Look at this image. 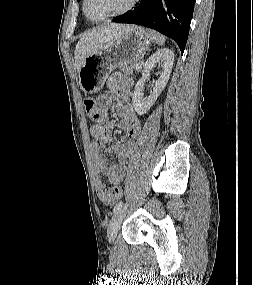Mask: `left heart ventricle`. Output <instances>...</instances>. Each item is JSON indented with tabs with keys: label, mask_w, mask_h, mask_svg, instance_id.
I'll list each match as a JSON object with an SVG mask.
<instances>
[{
	"label": "left heart ventricle",
	"mask_w": 253,
	"mask_h": 285,
	"mask_svg": "<svg viewBox=\"0 0 253 285\" xmlns=\"http://www.w3.org/2000/svg\"><path fill=\"white\" fill-rule=\"evenodd\" d=\"M130 0H87L86 11L93 19L102 18L124 9Z\"/></svg>",
	"instance_id": "b2bd125f"
}]
</instances>
